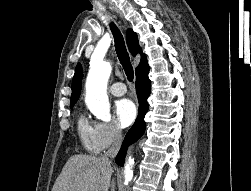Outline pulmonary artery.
I'll return each mask as SVG.
<instances>
[{
	"label": "pulmonary artery",
	"mask_w": 251,
	"mask_h": 191,
	"mask_svg": "<svg viewBox=\"0 0 251 191\" xmlns=\"http://www.w3.org/2000/svg\"><path fill=\"white\" fill-rule=\"evenodd\" d=\"M127 87L122 82H116L110 86V92L115 96H122L126 93Z\"/></svg>",
	"instance_id": "pulmonary-artery-1"
}]
</instances>
